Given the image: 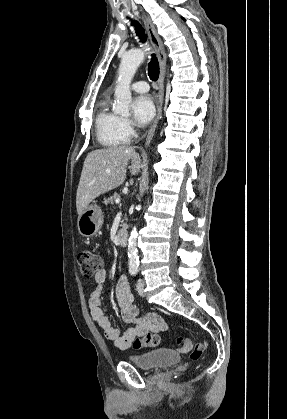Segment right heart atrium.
Instances as JSON below:
<instances>
[{
  "mask_svg": "<svg viewBox=\"0 0 287 419\" xmlns=\"http://www.w3.org/2000/svg\"><path fill=\"white\" fill-rule=\"evenodd\" d=\"M121 131L127 140L133 138L136 134L133 123L127 118H121L120 121Z\"/></svg>",
  "mask_w": 287,
  "mask_h": 419,
  "instance_id": "obj_1",
  "label": "right heart atrium"
}]
</instances>
